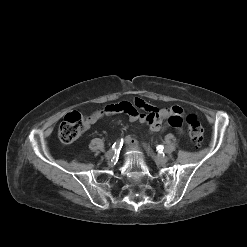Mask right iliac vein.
Returning <instances> with one entry per match:
<instances>
[{"label":"right iliac vein","instance_id":"right-iliac-vein-1","mask_svg":"<svg viewBox=\"0 0 247 247\" xmlns=\"http://www.w3.org/2000/svg\"><path fill=\"white\" fill-rule=\"evenodd\" d=\"M114 155V151L111 149L105 153V158L110 159Z\"/></svg>","mask_w":247,"mask_h":247}]
</instances>
